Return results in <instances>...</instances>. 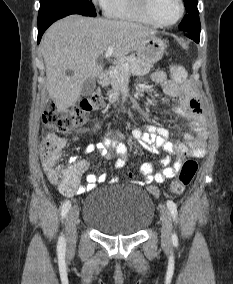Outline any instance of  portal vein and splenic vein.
<instances>
[{"label": "portal vein and splenic vein", "mask_w": 233, "mask_h": 284, "mask_svg": "<svg viewBox=\"0 0 233 284\" xmlns=\"http://www.w3.org/2000/svg\"><path fill=\"white\" fill-rule=\"evenodd\" d=\"M114 48L112 46L108 47V49L105 52V57H110L113 53ZM127 66V65H126Z\"/></svg>", "instance_id": "18ae733b"}]
</instances>
